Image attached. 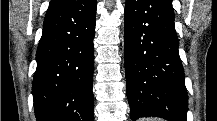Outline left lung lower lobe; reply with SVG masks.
<instances>
[{
    "label": "left lung lower lobe",
    "mask_w": 217,
    "mask_h": 121,
    "mask_svg": "<svg viewBox=\"0 0 217 121\" xmlns=\"http://www.w3.org/2000/svg\"><path fill=\"white\" fill-rule=\"evenodd\" d=\"M124 42L131 119L187 121L188 96L172 0H126Z\"/></svg>",
    "instance_id": "left-lung-lower-lobe-1"
}]
</instances>
